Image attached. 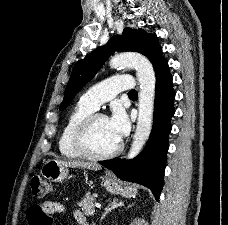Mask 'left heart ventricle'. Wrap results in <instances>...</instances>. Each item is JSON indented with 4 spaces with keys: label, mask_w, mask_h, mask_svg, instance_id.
Instances as JSON below:
<instances>
[{
    "label": "left heart ventricle",
    "mask_w": 228,
    "mask_h": 225,
    "mask_svg": "<svg viewBox=\"0 0 228 225\" xmlns=\"http://www.w3.org/2000/svg\"><path fill=\"white\" fill-rule=\"evenodd\" d=\"M91 143L99 151L110 150L119 143L109 132L106 118L98 117L94 121L91 129Z\"/></svg>",
    "instance_id": "obj_1"
}]
</instances>
